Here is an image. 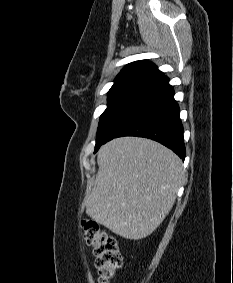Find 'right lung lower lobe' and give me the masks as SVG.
<instances>
[{"label": "right lung lower lobe", "instance_id": "right-lung-lower-lobe-1", "mask_svg": "<svg viewBox=\"0 0 233 283\" xmlns=\"http://www.w3.org/2000/svg\"><path fill=\"white\" fill-rule=\"evenodd\" d=\"M179 106L169 78L162 76L143 90L103 142L121 136H139L155 140L184 160L186 151Z\"/></svg>", "mask_w": 233, "mask_h": 283}]
</instances>
